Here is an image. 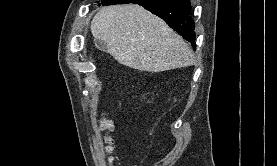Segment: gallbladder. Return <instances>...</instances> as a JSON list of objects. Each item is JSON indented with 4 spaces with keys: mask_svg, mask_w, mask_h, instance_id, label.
<instances>
[{
    "mask_svg": "<svg viewBox=\"0 0 277 166\" xmlns=\"http://www.w3.org/2000/svg\"><path fill=\"white\" fill-rule=\"evenodd\" d=\"M94 43L101 51L107 52V45L103 41L95 39Z\"/></svg>",
    "mask_w": 277,
    "mask_h": 166,
    "instance_id": "gallbladder-1",
    "label": "gallbladder"
}]
</instances>
